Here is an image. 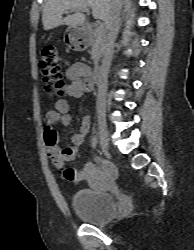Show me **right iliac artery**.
<instances>
[{
  "label": "right iliac artery",
  "mask_w": 194,
  "mask_h": 250,
  "mask_svg": "<svg viewBox=\"0 0 194 250\" xmlns=\"http://www.w3.org/2000/svg\"><path fill=\"white\" fill-rule=\"evenodd\" d=\"M98 144V138L97 136H94L93 139H92V146L95 148Z\"/></svg>",
  "instance_id": "right-iliac-artery-1"
}]
</instances>
